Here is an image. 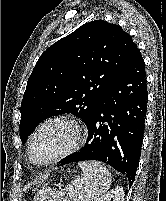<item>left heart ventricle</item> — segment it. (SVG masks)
<instances>
[{
	"mask_svg": "<svg viewBox=\"0 0 166 201\" xmlns=\"http://www.w3.org/2000/svg\"><path fill=\"white\" fill-rule=\"evenodd\" d=\"M74 140V130L64 123L46 126L36 137L32 158L41 163L66 151Z\"/></svg>",
	"mask_w": 166,
	"mask_h": 201,
	"instance_id": "obj_1",
	"label": "left heart ventricle"
}]
</instances>
